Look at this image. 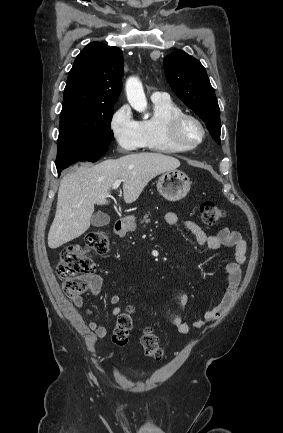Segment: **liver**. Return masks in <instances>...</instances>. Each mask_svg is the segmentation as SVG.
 Wrapping results in <instances>:
<instances>
[{"label":"liver","instance_id":"liver-1","mask_svg":"<svg viewBox=\"0 0 283 433\" xmlns=\"http://www.w3.org/2000/svg\"><path fill=\"white\" fill-rule=\"evenodd\" d=\"M178 166V158L161 152L126 154L94 166L81 162L76 172H68L60 180L56 214L48 233L50 249L77 239L89 229L94 204H107L109 190L117 178L123 182L125 202H134L151 178Z\"/></svg>","mask_w":283,"mask_h":433}]
</instances>
